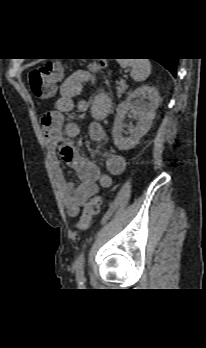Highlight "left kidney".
<instances>
[{
    "label": "left kidney",
    "mask_w": 206,
    "mask_h": 348,
    "mask_svg": "<svg viewBox=\"0 0 206 348\" xmlns=\"http://www.w3.org/2000/svg\"><path fill=\"white\" fill-rule=\"evenodd\" d=\"M148 100V102L145 101ZM159 105V93L155 87L142 85L136 88L116 109L112 130L115 146L119 150H130L150 129ZM138 120L136 127H130L129 136H124V118L127 114Z\"/></svg>",
    "instance_id": "5707ae66"
}]
</instances>
